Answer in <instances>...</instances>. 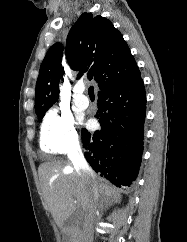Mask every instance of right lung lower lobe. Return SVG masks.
Wrapping results in <instances>:
<instances>
[{
	"label": "right lung lower lobe",
	"mask_w": 187,
	"mask_h": 242,
	"mask_svg": "<svg viewBox=\"0 0 187 242\" xmlns=\"http://www.w3.org/2000/svg\"><path fill=\"white\" fill-rule=\"evenodd\" d=\"M140 76L99 92L101 130L82 129L86 160L118 187L136 179L143 152L146 93Z\"/></svg>",
	"instance_id": "1"
}]
</instances>
